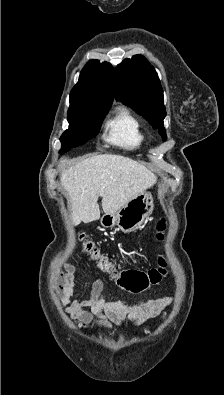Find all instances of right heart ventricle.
<instances>
[{"mask_svg": "<svg viewBox=\"0 0 224 395\" xmlns=\"http://www.w3.org/2000/svg\"><path fill=\"white\" fill-rule=\"evenodd\" d=\"M105 140L128 150L139 149L145 135L138 118L127 108L120 107L106 124Z\"/></svg>", "mask_w": 224, "mask_h": 395, "instance_id": "right-heart-ventricle-1", "label": "right heart ventricle"}]
</instances>
